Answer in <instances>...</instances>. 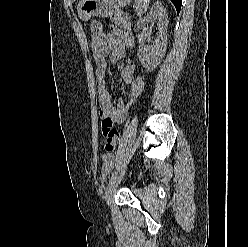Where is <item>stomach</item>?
<instances>
[{
	"label": "stomach",
	"instance_id": "0dacf381",
	"mask_svg": "<svg viewBox=\"0 0 248 247\" xmlns=\"http://www.w3.org/2000/svg\"><path fill=\"white\" fill-rule=\"evenodd\" d=\"M130 0H80L77 13L80 19L88 20L93 16L108 17L119 6H125Z\"/></svg>",
	"mask_w": 248,
	"mask_h": 247
}]
</instances>
